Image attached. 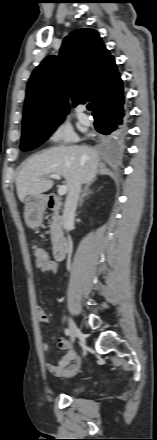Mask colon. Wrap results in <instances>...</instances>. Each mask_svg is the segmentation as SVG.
I'll return each mask as SVG.
<instances>
[{"label":"colon","mask_w":157,"mask_h":440,"mask_svg":"<svg viewBox=\"0 0 157 440\" xmlns=\"http://www.w3.org/2000/svg\"><path fill=\"white\" fill-rule=\"evenodd\" d=\"M33 253L35 256L36 267L38 269H42L43 267L47 266L48 263L50 262V259H49L47 252L43 248H41L40 246L34 245L33 246Z\"/></svg>","instance_id":"colon-1"}]
</instances>
